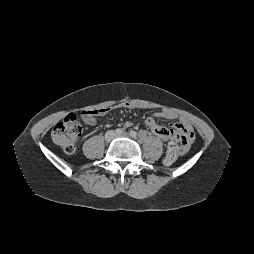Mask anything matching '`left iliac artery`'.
Segmentation results:
<instances>
[{"instance_id":"obj_1","label":"left iliac artery","mask_w":254,"mask_h":254,"mask_svg":"<svg viewBox=\"0 0 254 254\" xmlns=\"http://www.w3.org/2000/svg\"><path fill=\"white\" fill-rule=\"evenodd\" d=\"M130 136L133 137V138H135V137L137 136V132L131 131V132H130Z\"/></svg>"}]
</instances>
